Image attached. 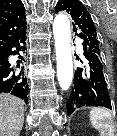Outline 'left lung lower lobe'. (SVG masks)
<instances>
[{
  "label": "left lung lower lobe",
  "mask_w": 117,
  "mask_h": 136,
  "mask_svg": "<svg viewBox=\"0 0 117 136\" xmlns=\"http://www.w3.org/2000/svg\"><path fill=\"white\" fill-rule=\"evenodd\" d=\"M83 49L86 65L84 68H77L75 72L74 85L66 104L68 115L82 106H102L111 109L102 60L89 51L84 40Z\"/></svg>",
  "instance_id": "1"
}]
</instances>
